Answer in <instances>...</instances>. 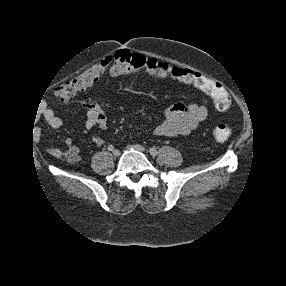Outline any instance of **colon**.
<instances>
[{"mask_svg": "<svg viewBox=\"0 0 286 286\" xmlns=\"http://www.w3.org/2000/svg\"><path fill=\"white\" fill-rule=\"evenodd\" d=\"M128 73H144L157 78H172L192 84L211 96L218 111H227L232 101L225 88L197 72L170 66L156 59L120 50L104 60L85 70L58 87L55 97L61 102H68L79 91L91 86L104 75H122ZM232 135L231 128L226 124H217L212 130V136L217 142H226Z\"/></svg>", "mask_w": 286, "mask_h": 286, "instance_id": "5ec220e1", "label": "colon"}]
</instances>
